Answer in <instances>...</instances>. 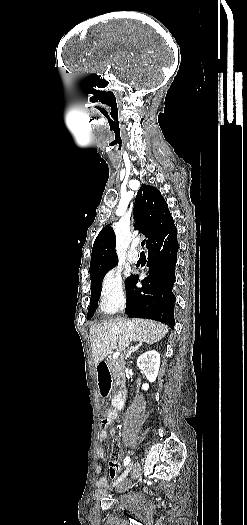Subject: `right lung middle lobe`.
Segmentation results:
<instances>
[{
  "label": "right lung middle lobe",
  "mask_w": 247,
  "mask_h": 525,
  "mask_svg": "<svg viewBox=\"0 0 247 525\" xmlns=\"http://www.w3.org/2000/svg\"><path fill=\"white\" fill-rule=\"evenodd\" d=\"M105 273L90 275L92 288H91L90 306H89L88 315H87L88 319H90L94 315V311L97 308L98 300L100 296L101 282L104 278Z\"/></svg>",
  "instance_id": "dd1d6c3e"
}]
</instances>
